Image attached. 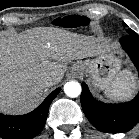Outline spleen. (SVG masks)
Returning <instances> with one entry per match:
<instances>
[{
    "instance_id": "3e777b00",
    "label": "spleen",
    "mask_w": 139,
    "mask_h": 139,
    "mask_svg": "<svg viewBox=\"0 0 139 139\" xmlns=\"http://www.w3.org/2000/svg\"><path fill=\"white\" fill-rule=\"evenodd\" d=\"M133 89V77L127 71H121L115 76L105 94L111 100L121 101L130 98Z\"/></svg>"
}]
</instances>
